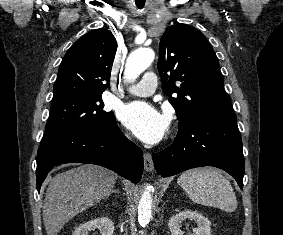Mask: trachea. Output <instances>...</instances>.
<instances>
[{
  "instance_id": "obj_1",
  "label": "trachea",
  "mask_w": 283,
  "mask_h": 235,
  "mask_svg": "<svg viewBox=\"0 0 283 235\" xmlns=\"http://www.w3.org/2000/svg\"><path fill=\"white\" fill-rule=\"evenodd\" d=\"M136 6L141 9L144 7V3H136Z\"/></svg>"
}]
</instances>
